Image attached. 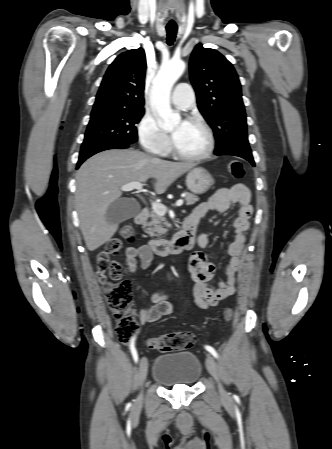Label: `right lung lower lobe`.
<instances>
[{"mask_svg":"<svg viewBox=\"0 0 332 449\" xmlns=\"http://www.w3.org/2000/svg\"><path fill=\"white\" fill-rule=\"evenodd\" d=\"M130 146V144H126V143H117V142H111V143H103V144H99L96 146H93L91 148H87V149H83L80 152L79 155V160L77 163V168L89 157H91L92 155L104 151V150H108V149H114V148H128Z\"/></svg>","mask_w":332,"mask_h":449,"instance_id":"1","label":"right lung lower lobe"}]
</instances>
